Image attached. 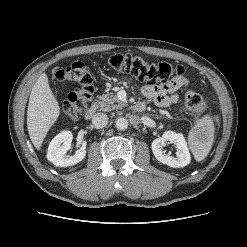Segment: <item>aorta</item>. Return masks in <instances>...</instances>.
Segmentation results:
<instances>
[{
  "instance_id": "762f6f07",
  "label": "aorta",
  "mask_w": 247,
  "mask_h": 247,
  "mask_svg": "<svg viewBox=\"0 0 247 247\" xmlns=\"http://www.w3.org/2000/svg\"><path fill=\"white\" fill-rule=\"evenodd\" d=\"M115 127L118 129V130H126L127 127H128V120L123 118V117H119L117 120H116V124H115Z\"/></svg>"
}]
</instances>
